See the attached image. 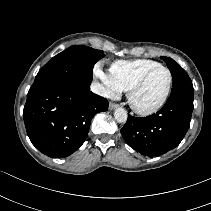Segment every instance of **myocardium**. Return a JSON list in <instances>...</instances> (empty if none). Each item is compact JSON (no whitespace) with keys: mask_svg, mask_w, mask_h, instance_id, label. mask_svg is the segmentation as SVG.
<instances>
[{"mask_svg":"<svg viewBox=\"0 0 211 211\" xmlns=\"http://www.w3.org/2000/svg\"><path fill=\"white\" fill-rule=\"evenodd\" d=\"M158 69H163L168 73L169 79H168L166 91H165L163 97L161 98V100L154 106H152L150 108H140L135 104V101H134L135 94L143 86V84L145 83V81L147 80L149 75ZM172 83H173V75H172L171 70L168 67L163 66V65H157L152 68H149L135 81V83L128 90L127 97H128V102H129L131 108L137 114L142 115V116H149V115L157 113L167 102L170 92H171Z\"/></svg>","mask_w":211,"mask_h":211,"instance_id":"1","label":"myocardium"}]
</instances>
